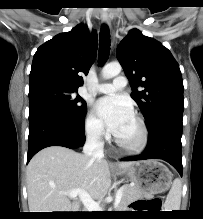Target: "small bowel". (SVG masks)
Returning a JSON list of instances; mask_svg holds the SVG:
<instances>
[{
  "instance_id": "small-bowel-1",
  "label": "small bowel",
  "mask_w": 203,
  "mask_h": 219,
  "mask_svg": "<svg viewBox=\"0 0 203 219\" xmlns=\"http://www.w3.org/2000/svg\"><path fill=\"white\" fill-rule=\"evenodd\" d=\"M139 206H140L139 204H135V205L133 206V208L136 209V208H138Z\"/></svg>"
}]
</instances>
